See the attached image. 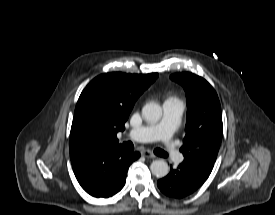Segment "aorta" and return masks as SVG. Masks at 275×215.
I'll list each match as a JSON object with an SVG mask.
<instances>
[{"instance_id": "1", "label": "aorta", "mask_w": 275, "mask_h": 215, "mask_svg": "<svg viewBox=\"0 0 275 215\" xmlns=\"http://www.w3.org/2000/svg\"><path fill=\"white\" fill-rule=\"evenodd\" d=\"M142 117L150 123L158 122L162 117V108L159 104L150 102L143 106ZM150 170L158 178L165 177L169 173V166L164 160H155L151 163Z\"/></svg>"}]
</instances>
